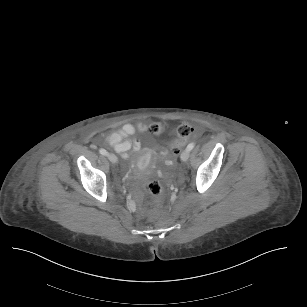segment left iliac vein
Masks as SVG:
<instances>
[{"instance_id": "1", "label": "left iliac vein", "mask_w": 307, "mask_h": 307, "mask_svg": "<svg viewBox=\"0 0 307 307\" xmlns=\"http://www.w3.org/2000/svg\"><path fill=\"white\" fill-rule=\"evenodd\" d=\"M189 157H190V151L187 149L184 150L180 156L182 162H186L189 159Z\"/></svg>"}]
</instances>
